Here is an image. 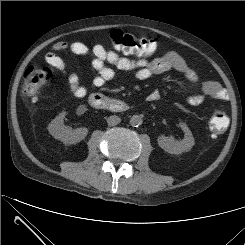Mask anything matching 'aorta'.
I'll list each match as a JSON object with an SVG mask.
<instances>
[{
  "label": "aorta",
  "instance_id": "762f6f07",
  "mask_svg": "<svg viewBox=\"0 0 245 245\" xmlns=\"http://www.w3.org/2000/svg\"><path fill=\"white\" fill-rule=\"evenodd\" d=\"M143 120L141 118V116L139 115H133L131 118H130V125L133 126V127H138L142 124Z\"/></svg>",
  "mask_w": 245,
  "mask_h": 245
}]
</instances>
